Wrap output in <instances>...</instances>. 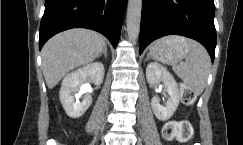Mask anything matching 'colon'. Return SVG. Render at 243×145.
I'll return each instance as SVG.
<instances>
[{"label": "colon", "instance_id": "obj_1", "mask_svg": "<svg viewBox=\"0 0 243 145\" xmlns=\"http://www.w3.org/2000/svg\"><path fill=\"white\" fill-rule=\"evenodd\" d=\"M196 98L195 92L188 86L181 88V102L190 106ZM193 136V128L190 123L185 121L169 122L163 128V137L166 140L178 139L180 141H188Z\"/></svg>", "mask_w": 243, "mask_h": 145}]
</instances>
